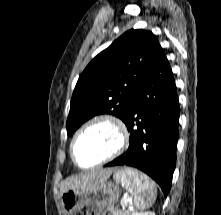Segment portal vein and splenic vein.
I'll use <instances>...</instances> for the list:
<instances>
[{"label":"portal vein and splenic vein","mask_w":221,"mask_h":215,"mask_svg":"<svg viewBox=\"0 0 221 215\" xmlns=\"http://www.w3.org/2000/svg\"><path fill=\"white\" fill-rule=\"evenodd\" d=\"M128 202L126 200H122L121 201V205L124 207V206H127Z\"/></svg>","instance_id":"portal-vein-and-splenic-vein-1"}]
</instances>
